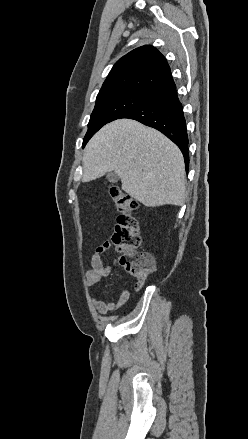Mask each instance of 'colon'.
Returning a JSON list of instances; mask_svg holds the SVG:
<instances>
[{
  "instance_id": "obj_1",
  "label": "colon",
  "mask_w": 248,
  "mask_h": 439,
  "mask_svg": "<svg viewBox=\"0 0 248 439\" xmlns=\"http://www.w3.org/2000/svg\"><path fill=\"white\" fill-rule=\"evenodd\" d=\"M109 193L120 213L115 223L112 243L122 253L121 265L135 278V285L142 286L154 271L155 262L151 254L139 251V224L133 216L137 203L118 186H111Z\"/></svg>"
}]
</instances>
